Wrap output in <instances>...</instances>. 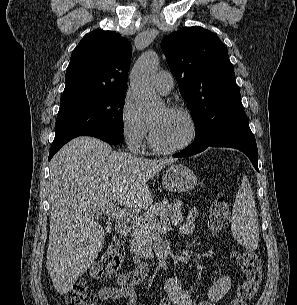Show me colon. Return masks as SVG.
<instances>
[{
    "mask_svg": "<svg viewBox=\"0 0 297 305\" xmlns=\"http://www.w3.org/2000/svg\"><path fill=\"white\" fill-rule=\"evenodd\" d=\"M230 209L228 203L219 196L212 204L208 215V228L213 235L221 234L228 225ZM234 258L243 274L229 305H249L257 293L263 278L262 262L249 251H236ZM125 259V248L120 237L113 238L100 258L92 265L90 278L102 280L119 272ZM67 305H96V298L88 279L78 280L66 294Z\"/></svg>",
    "mask_w": 297,
    "mask_h": 305,
    "instance_id": "1",
    "label": "colon"
}]
</instances>
